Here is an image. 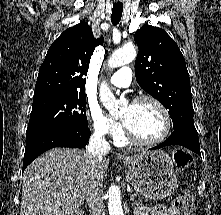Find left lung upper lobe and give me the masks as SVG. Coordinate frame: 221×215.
<instances>
[{
  "label": "left lung upper lobe",
  "instance_id": "5c2ea615",
  "mask_svg": "<svg viewBox=\"0 0 221 215\" xmlns=\"http://www.w3.org/2000/svg\"><path fill=\"white\" fill-rule=\"evenodd\" d=\"M134 40L137 83L169 110L174 130L195 128L189 73L178 45L163 29L148 24Z\"/></svg>",
  "mask_w": 221,
  "mask_h": 215
}]
</instances>
